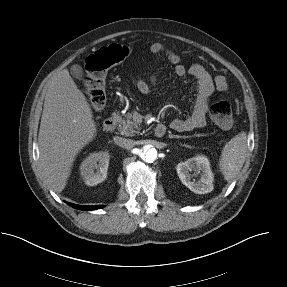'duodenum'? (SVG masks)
<instances>
[{
    "label": "duodenum",
    "mask_w": 287,
    "mask_h": 287,
    "mask_svg": "<svg viewBox=\"0 0 287 287\" xmlns=\"http://www.w3.org/2000/svg\"><path fill=\"white\" fill-rule=\"evenodd\" d=\"M115 127H116V120L114 117H108L105 119L103 123V128L105 131L112 132L114 131ZM154 132L157 137H162L166 132V127L163 124H158L155 127Z\"/></svg>",
    "instance_id": "410a0bca"
}]
</instances>
